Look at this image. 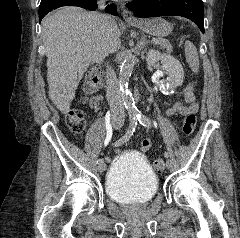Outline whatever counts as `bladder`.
<instances>
[{
  "instance_id": "1",
  "label": "bladder",
  "mask_w": 240,
  "mask_h": 238,
  "mask_svg": "<svg viewBox=\"0 0 240 238\" xmlns=\"http://www.w3.org/2000/svg\"><path fill=\"white\" fill-rule=\"evenodd\" d=\"M105 185L108 197L114 202L145 204L156 196L159 178L144 156L127 150L111 165Z\"/></svg>"
}]
</instances>
